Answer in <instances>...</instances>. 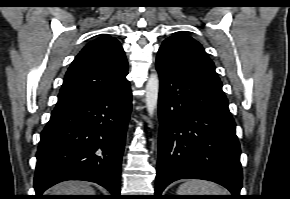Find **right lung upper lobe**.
Segmentation results:
<instances>
[{
	"label": "right lung upper lobe",
	"instance_id": "obj_1",
	"mask_svg": "<svg viewBox=\"0 0 290 199\" xmlns=\"http://www.w3.org/2000/svg\"><path fill=\"white\" fill-rule=\"evenodd\" d=\"M124 50L113 37L88 43L69 67L56 107L96 98L124 87L128 81Z\"/></svg>",
	"mask_w": 290,
	"mask_h": 199
}]
</instances>
